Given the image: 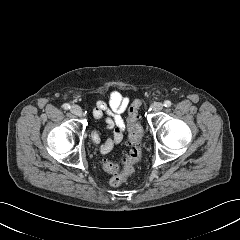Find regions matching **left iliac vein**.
Instances as JSON below:
<instances>
[{
	"instance_id": "left-iliac-vein-1",
	"label": "left iliac vein",
	"mask_w": 240,
	"mask_h": 240,
	"mask_svg": "<svg viewBox=\"0 0 240 240\" xmlns=\"http://www.w3.org/2000/svg\"><path fill=\"white\" fill-rule=\"evenodd\" d=\"M152 109L154 112H159L163 109V104L161 102H156L153 106Z\"/></svg>"
}]
</instances>
